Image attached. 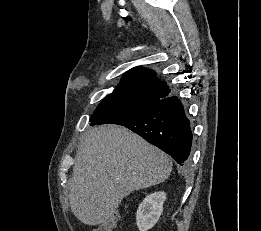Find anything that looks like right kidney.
<instances>
[{
	"label": "right kidney",
	"mask_w": 261,
	"mask_h": 231,
	"mask_svg": "<svg viewBox=\"0 0 261 231\" xmlns=\"http://www.w3.org/2000/svg\"><path fill=\"white\" fill-rule=\"evenodd\" d=\"M166 199L164 192H154L145 197L136 213V224L139 231H148L158 222Z\"/></svg>",
	"instance_id": "ca27d5eb"
}]
</instances>
